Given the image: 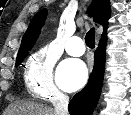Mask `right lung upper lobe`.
<instances>
[{
    "mask_svg": "<svg viewBox=\"0 0 131 115\" xmlns=\"http://www.w3.org/2000/svg\"><path fill=\"white\" fill-rule=\"evenodd\" d=\"M89 16L93 17V21L103 25L104 32L102 38L106 37V30L108 26V18L110 16V2L109 0H94L91 7L88 9ZM47 10L42 9L39 11L30 22V25L25 32L21 46L18 52V56L22 55L35 44L41 28L46 20ZM17 56V57H18Z\"/></svg>",
    "mask_w": 131,
    "mask_h": 115,
    "instance_id": "right-lung-upper-lobe-1",
    "label": "right lung upper lobe"
}]
</instances>
